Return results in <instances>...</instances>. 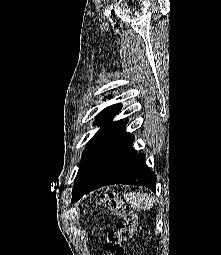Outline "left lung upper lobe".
Segmentation results:
<instances>
[{
	"instance_id": "5c2ea615",
	"label": "left lung upper lobe",
	"mask_w": 221,
	"mask_h": 255,
	"mask_svg": "<svg viewBox=\"0 0 221 255\" xmlns=\"http://www.w3.org/2000/svg\"><path fill=\"white\" fill-rule=\"evenodd\" d=\"M121 108L122 105L115 104L105 108L97 115L95 124L100 125L101 128L86 145L82 155L81 163L79 165V170L75 178L74 186L79 180V177L93 152L98 148L102 141L122 122L112 121V118L119 112Z\"/></svg>"
}]
</instances>
